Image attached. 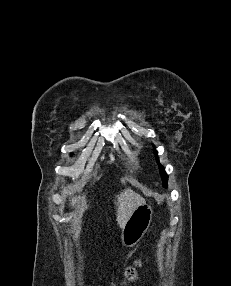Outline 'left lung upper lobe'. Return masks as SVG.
Segmentation results:
<instances>
[{"label": "left lung upper lobe", "mask_w": 231, "mask_h": 286, "mask_svg": "<svg viewBox=\"0 0 231 286\" xmlns=\"http://www.w3.org/2000/svg\"><path fill=\"white\" fill-rule=\"evenodd\" d=\"M155 154L157 155V152L155 151ZM157 162H158V157L156 156ZM159 163V162H158ZM159 170L162 176V181H163V186L167 187V181H168V176L166 172L164 171V168L159 164Z\"/></svg>", "instance_id": "obj_1"}]
</instances>
